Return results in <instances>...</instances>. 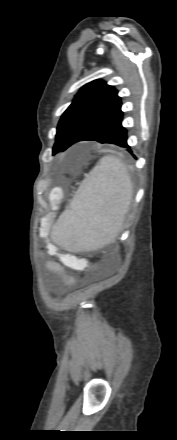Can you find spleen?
<instances>
[{
  "label": "spleen",
  "instance_id": "3e777b00",
  "mask_svg": "<svg viewBox=\"0 0 177 440\" xmlns=\"http://www.w3.org/2000/svg\"><path fill=\"white\" fill-rule=\"evenodd\" d=\"M131 196L126 165L117 157H102L55 223L53 241L73 252L103 247L120 232Z\"/></svg>",
  "mask_w": 177,
  "mask_h": 440
}]
</instances>
